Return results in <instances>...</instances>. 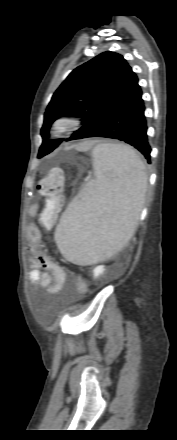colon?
<instances>
[{
    "label": "colon",
    "instance_id": "1",
    "mask_svg": "<svg viewBox=\"0 0 177 440\" xmlns=\"http://www.w3.org/2000/svg\"><path fill=\"white\" fill-rule=\"evenodd\" d=\"M39 192L45 198V205L39 214L42 226L51 223L55 213L60 209L64 192V173L60 167L50 169L39 184Z\"/></svg>",
    "mask_w": 177,
    "mask_h": 440
}]
</instances>
